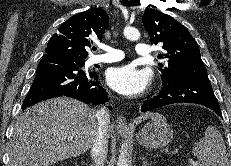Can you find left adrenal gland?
I'll return each mask as SVG.
<instances>
[{"label":"left adrenal gland","instance_id":"a2214340","mask_svg":"<svg viewBox=\"0 0 231 166\" xmlns=\"http://www.w3.org/2000/svg\"><path fill=\"white\" fill-rule=\"evenodd\" d=\"M140 160L142 161V166H149V163L147 162L146 158L144 156H142L140 158Z\"/></svg>","mask_w":231,"mask_h":166}]
</instances>
